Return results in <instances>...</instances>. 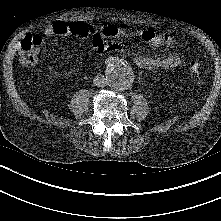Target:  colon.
<instances>
[{
	"instance_id": "obj_1",
	"label": "colon",
	"mask_w": 221,
	"mask_h": 221,
	"mask_svg": "<svg viewBox=\"0 0 221 221\" xmlns=\"http://www.w3.org/2000/svg\"><path fill=\"white\" fill-rule=\"evenodd\" d=\"M40 39L37 36L26 35L20 42L18 50V59L23 66H32L38 62ZM188 71L191 77L196 80H201L200 63L192 58L188 62Z\"/></svg>"
}]
</instances>
